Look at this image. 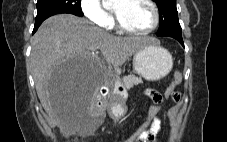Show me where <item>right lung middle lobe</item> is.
Here are the masks:
<instances>
[{
    "instance_id": "1",
    "label": "right lung middle lobe",
    "mask_w": 227,
    "mask_h": 142,
    "mask_svg": "<svg viewBox=\"0 0 227 142\" xmlns=\"http://www.w3.org/2000/svg\"><path fill=\"white\" fill-rule=\"evenodd\" d=\"M58 13L83 16L81 0H38L36 19L47 18Z\"/></svg>"
}]
</instances>
